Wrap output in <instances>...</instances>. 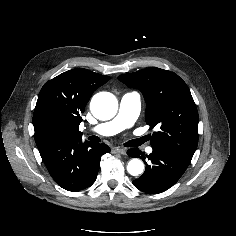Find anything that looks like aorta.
<instances>
[{"instance_id":"obj_1","label":"aorta","mask_w":236,"mask_h":236,"mask_svg":"<svg viewBox=\"0 0 236 236\" xmlns=\"http://www.w3.org/2000/svg\"><path fill=\"white\" fill-rule=\"evenodd\" d=\"M93 115L100 120L113 118L118 110L116 97L109 92H100L94 95L90 105ZM127 171L132 176H138L144 171V164L140 159H132L127 164Z\"/></svg>"}]
</instances>
